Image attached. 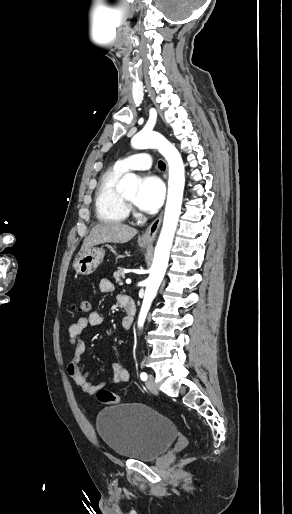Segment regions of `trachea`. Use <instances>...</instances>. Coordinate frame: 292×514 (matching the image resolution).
Wrapping results in <instances>:
<instances>
[{
    "instance_id": "3493384b",
    "label": "trachea",
    "mask_w": 292,
    "mask_h": 514,
    "mask_svg": "<svg viewBox=\"0 0 292 514\" xmlns=\"http://www.w3.org/2000/svg\"><path fill=\"white\" fill-rule=\"evenodd\" d=\"M158 167L161 169V170H165L166 169V165L164 162H162V160H160L158 162Z\"/></svg>"
}]
</instances>
